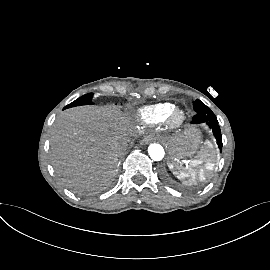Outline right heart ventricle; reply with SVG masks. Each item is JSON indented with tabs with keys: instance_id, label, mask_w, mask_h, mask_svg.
Masks as SVG:
<instances>
[{
	"instance_id": "e07e8e85",
	"label": "right heart ventricle",
	"mask_w": 270,
	"mask_h": 270,
	"mask_svg": "<svg viewBox=\"0 0 270 270\" xmlns=\"http://www.w3.org/2000/svg\"><path fill=\"white\" fill-rule=\"evenodd\" d=\"M174 108L170 102L157 103L140 108L137 115L142 123L153 126L165 122Z\"/></svg>"
}]
</instances>
